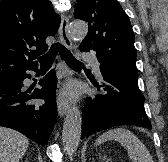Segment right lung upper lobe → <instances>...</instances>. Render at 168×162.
<instances>
[{
	"mask_svg": "<svg viewBox=\"0 0 168 162\" xmlns=\"http://www.w3.org/2000/svg\"><path fill=\"white\" fill-rule=\"evenodd\" d=\"M59 25L49 0H0V79L37 67L35 56L48 49L45 39Z\"/></svg>",
	"mask_w": 168,
	"mask_h": 162,
	"instance_id": "cb5924a9",
	"label": "right lung upper lobe"
}]
</instances>
